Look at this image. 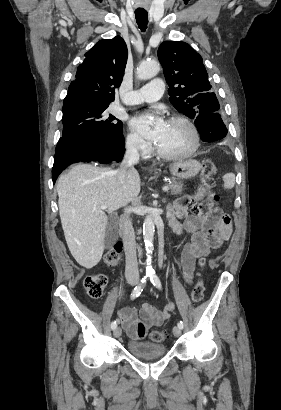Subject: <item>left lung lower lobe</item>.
Instances as JSON below:
<instances>
[{
	"label": "left lung lower lobe",
	"mask_w": 281,
	"mask_h": 410,
	"mask_svg": "<svg viewBox=\"0 0 281 410\" xmlns=\"http://www.w3.org/2000/svg\"><path fill=\"white\" fill-rule=\"evenodd\" d=\"M195 125L204 142L220 140L227 134V128L219 113H201L196 117Z\"/></svg>",
	"instance_id": "0a47b994"
}]
</instances>
